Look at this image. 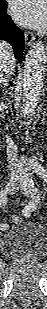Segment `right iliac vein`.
Returning <instances> with one entry per match:
<instances>
[{
  "label": "right iliac vein",
  "instance_id": "63e3f726",
  "mask_svg": "<svg viewBox=\"0 0 47 309\" xmlns=\"http://www.w3.org/2000/svg\"><path fill=\"white\" fill-rule=\"evenodd\" d=\"M21 180L19 178H11L8 184L5 187V192L7 194H12L20 185Z\"/></svg>",
  "mask_w": 47,
  "mask_h": 309
}]
</instances>
